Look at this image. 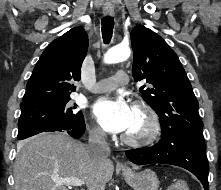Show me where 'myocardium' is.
<instances>
[{"label": "myocardium", "mask_w": 221, "mask_h": 190, "mask_svg": "<svg viewBox=\"0 0 221 190\" xmlns=\"http://www.w3.org/2000/svg\"><path fill=\"white\" fill-rule=\"evenodd\" d=\"M133 108L141 112L147 121L145 133L139 137H133L128 134L121 136L122 141L131 147L141 148L152 145L161 133V122L159 115L155 109L143 100H138L134 103Z\"/></svg>", "instance_id": "obj_1"}]
</instances>
